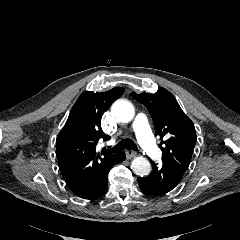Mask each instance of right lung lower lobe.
Here are the masks:
<instances>
[{
  "label": "right lung lower lobe",
  "instance_id": "obj_1",
  "mask_svg": "<svg viewBox=\"0 0 240 240\" xmlns=\"http://www.w3.org/2000/svg\"><path fill=\"white\" fill-rule=\"evenodd\" d=\"M126 159L124 152H119L115 157L93 178V180L82 190L75 193L83 199H97L103 196L107 191V178L111 167Z\"/></svg>",
  "mask_w": 240,
  "mask_h": 240
}]
</instances>
